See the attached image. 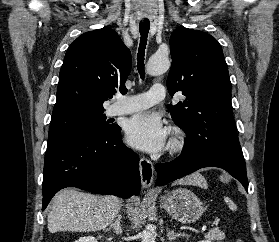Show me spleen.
Listing matches in <instances>:
<instances>
[{"label": "spleen", "mask_w": 279, "mask_h": 242, "mask_svg": "<svg viewBox=\"0 0 279 242\" xmlns=\"http://www.w3.org/2000/svg\"><path fill=\"white\" fill-rule=\"evenodd\" d=\"M224 201L228 204V206L231 210H236L237 209L235 203L230 198L224 197Z\"/></svg>", "instance_id": "spleen-1"}]
</instances>
